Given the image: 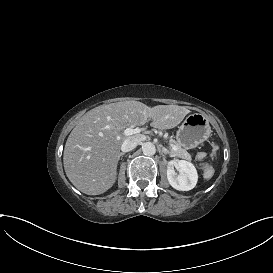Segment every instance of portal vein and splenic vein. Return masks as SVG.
Here are the masks:
<instances>
[{"mask_svg": "<svg viewBox=\"0 0 273 273\" xmlns=\"http://www.w3.org/2000/svg\"><path fill=\"white\" fill-rule=\"evenodd\" d=\"M142 131V128L138 127V128H127L124 131H122V135L123 136H131L133 134H137L140 133ZM171 149L174 151H179V148L175 145L171 146Z\"/></svg>", "mask_w": 273, "mask_h": 273, "instance_id": "18ae733b", "label": "portal vein and splenic vein"}]
</instances>
